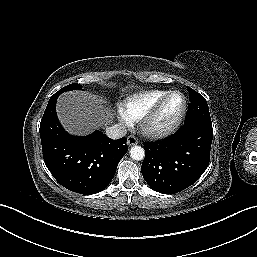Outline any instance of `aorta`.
<instances>
[{"label": "aorta", "mask_w": 257, "mask_h": 257, "mask_svg": "<svg viewBox=\"0 0 257 257\" xmlns=\"http://www.w3.org/2000/svg\"><path fill=\"white\" fill-rule=\"evenodd\" d=\"M145 151L141 146H133L130 150V157L133 160L140 161L144 159Z\"/></svg>", "instance_id": "obj_1"}]
</instances>
